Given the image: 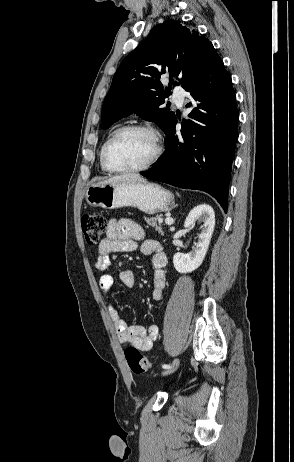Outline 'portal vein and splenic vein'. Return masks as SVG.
Instances as JSON below:
<instances>
[{
    "label": "portal vein and splenic vein",
    "instance_id": "1",
    "mask_svg": "<svg viewBox=\"0 0 294 462\" xmlns=\"http://www.w3.org/2000/svg\"><path fill=\"white\" fill-rule=\"evenodd\" d=\"M159 222H162V220H159ZM173 219L172 218H166L165 223L169 226L173 225Z\"/></svg>",
    "mask_w": 294,
    "mask_h": 462
}]
</instances>
